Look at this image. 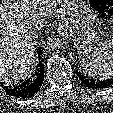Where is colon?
Segmentation results:
<instances>
[{"label": "colon", "instance_id": "obj_1", "mask_svg": "<svg viewBox=\"0 0 113 113\" xmlns=\"http://www.w3.org/2000/svg\"><path fill=\"white\" fill-rule=\"evenodd\" d=\"M94 8H96L104 16L113 18V0H90Z\"/></svg>", "mask_w": 113, "mask_h": 113}]
</instances>
